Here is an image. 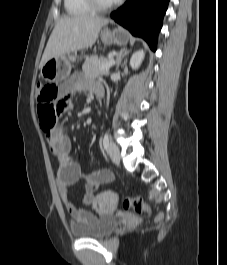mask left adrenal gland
Listing matches in <instances>:
<instances>
[{"label":"left adrenal gland","instance_id":"obj_1","mask_svg":"<svg viewBox=\"0 0 227 265\" xmlns=\"http://www.w3.org/2000/svg\"><path fill=\"white\" fill-rule=\"evenodd\" d=\"M128 53H129V51L126 50V49H122V50L119 52V54H118V56H117V59H116V68H117V69L119 68V66H120V64H121L122 58H123L125 55H127Z\"/></svg>","mask_w":227,"mask_h":265}]
</instances>
